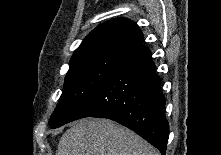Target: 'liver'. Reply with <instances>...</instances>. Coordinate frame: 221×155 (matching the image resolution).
Masks as SVG:
<instances>
[{
    "mask_svg": "<svg viewBox=\"0 0 221 155\" xmlns=\"http://www.w3.org/2000/svg\"><path fill=\"white\" fill-rule=\"evenodd\" d=\"M56 155H159L133 131L108 119H81L61 137Z\"/></svg>",
    "mask_w": 221,
    "mask_h": 155,
    "instance_id": "obj_1",
    "label": "liver"
}]
</instances>
